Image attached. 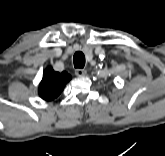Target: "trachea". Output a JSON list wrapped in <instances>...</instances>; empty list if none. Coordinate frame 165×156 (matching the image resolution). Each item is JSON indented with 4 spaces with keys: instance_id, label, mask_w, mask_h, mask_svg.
<instances>
[{
    "instance_id": "trachea-1",
    "label": "trachea",
    "mask_w": 165,
    "mask_h": 156,
    "mask_svg": "<svg viewBox=\"0 0 165 156\" xmlns=\"http://www.w3.org/2000/svg\"><path fill=\"white\" fill-rule=\"evenodd\" d=\"M75 68H83L85 66V56L82 52H76L73 56Z\"/></svg>"
}]
</instances>
